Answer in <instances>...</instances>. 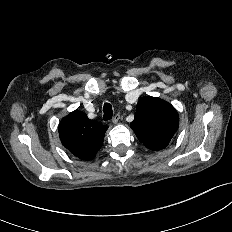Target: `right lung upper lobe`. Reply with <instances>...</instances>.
Wrapping results in <instances>:
<instances>
[{"instance_id": "obj_1", "label": "right lung upper lobe", "mask_w": 232, "mask_h": 232, "mask_svg": "<svg viewBox=\"0 0 232 232\" xmlns=\"http://www.w3.org/2000/svg\"><path fill=\"white\" fill-rule=\"evenodd\" d=\"M107 128L75 110L61 120L58 130L63 146L76 157L89 161L102 147Z\"/></svg>"}]
</instances>
